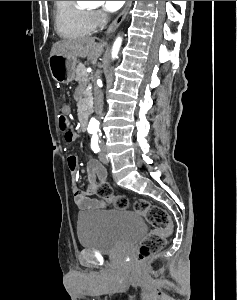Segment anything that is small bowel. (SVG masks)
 I'll list each match as a JSON object with an SVG mask.
<instances>
[{
    "instance_id": "obj_1",
    "label": "small bowel",
    "mask_w": 237,
    "mask_h": 300,
    "mask_svg": "<svg viewBox=\"0 0 237 300\" xmlns=\"http://www.w3.org/2000/svg\"><path fill=\"white\" fill-rule=\"evenodd\" d=\"M64 115L70 114V109L67 106L62 108ZM67 165L70 172L72 191L74 201L80 209L93 210L106 208L107 202L93 197L96 193L97 182H104L106 180V171L104 167L97 161H90L87 167L88 172V188L82 190L78 185V159L76 155L70 154L67 158Z\"/></svg>"
}]
</instances>
